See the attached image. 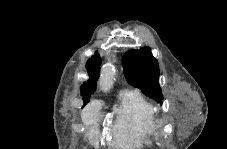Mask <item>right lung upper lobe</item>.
Returning a JSON list of instances; mask_svg holds the SVG:
<instances>
[{
  "mask_svg": "<svg viewBox=\"0 0 227 149\" xmlns=\"http://www.w3.org/2000/svg\"><path fill=\"white\" fill-rule=\"evenodd\" d=\"M101 59L99 54L95 52L87 62L86 68L90 76L87 82L81 86V95L83 96L84 103L89 102L91 94L96 90L97 79L99 77Z\"/></svg>",
  "mask_w": 227,
  "mask_h": 149,
  "instance_id": "obj_1",
  "label": "right lung upper lobe"
}]
</instances>
